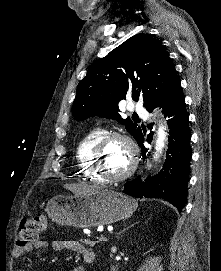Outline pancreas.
<instances>
[{
    "label": "pancreas",
    "instance_id": "cf45deb5",
    "mask_svg": "<svg viewBox=\"0 0 221 271\" xmlns=\"http://www.w3.org/2000/svg\"><path fill=\"white\" fill-rule=\"evenodd\" d=\"M79 242H81V244H86L87 247H97V244H101V239H88L87 237V241H80V237H79Z\"/></svg>",
    "mask_w": 221,
    "mask_h": 271
}]
</instances>
